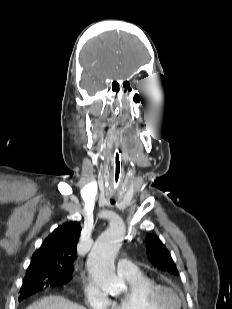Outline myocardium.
<instances>
[{
  "label": "myocardium",
  "mask_w": 232,
  "mask_h": 309,
  "mask_svg": "<svg viewBox=\"0 0 232 309\" xmlns=\"http://www.w3.org/2000/svg\"><path fill=\"white\" fill-rule=\"evenodd\" d=\"M147 302L153 309H181L183 305L180 294L173 288L155 284L146 294Z\"/></svg>",
  "instance_id": "1"
}]
</instances>
